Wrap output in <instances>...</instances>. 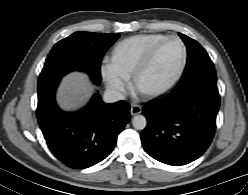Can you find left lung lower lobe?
Segmentation results:
<instances>
[{
  "instance_id": "1",
  "label": "left lung lower lobe",
  "mask_w": 248,
  "mask_h": 195,
  "mask_svg": "<svg viewBox=\"0 0 248 195\" xmlns=\"http://www.w3.org/2000/svg\"><path fill=\"white\" fill-rule=\"evenodd\" d=\"M219 105L216 80L178 83L166 97L143 108L148 121L140 135L144 150L173 166L196 160L213 139Z\"/></svg>"
}]
</instances>
